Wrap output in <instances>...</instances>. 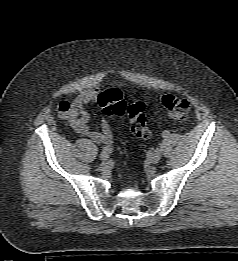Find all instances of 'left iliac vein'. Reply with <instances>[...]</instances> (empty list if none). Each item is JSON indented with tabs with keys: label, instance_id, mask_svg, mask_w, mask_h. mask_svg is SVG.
I'll return each instance as SVG.
<instances>
[{
	"label": "left iliac vein",
	"instance_id": "obj_1",
	"mask_svg": "<svg viewBox=\"0 0 238 261\" xmlns=\"http://www.w3.org/2000/svg\"><path fill=\"white\" fill-rule=\"evenodd\" d=\"M162 156L161 149H156L150 156H149V162L152 164H157Z\"/></svg>",
	"mask_w": 238,
	"mask_h": 261
}]
</instances>
